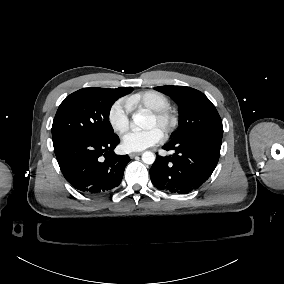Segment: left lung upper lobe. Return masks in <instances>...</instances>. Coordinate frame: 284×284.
<instances>
[{
  "label": "left lung upper lobe",
  "instance_id": "left-lung-upper-lobe-1",
  "mask_svg": "<svg viewBox=\"0 0 284 284\" xmlns=\"http://www.w3.org/2000/svg\"><path fill=\"white\" fill-rule=\"evenodd\" d=\"M155 89L169 95L179 105L180 126L171 141L197 135L222 139L221 118L215 106L202 92L185 86H160Z\"/></svg>",
  "mask_w": 284,
  "mask_h": 284
}]
</instances>
